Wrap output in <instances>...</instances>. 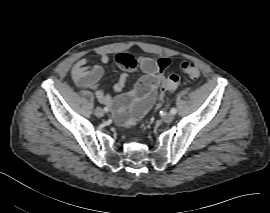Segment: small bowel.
Returning <instances> with one entry per match:
<instances>
[{"mask_svg":"<svg viewBox=\"0 0 270 213\" xmlns=\"http://www.w3.org/2000/svg\"><path fill=\"white\" fill-rule=\"evenodd\" d=\"M101 64L106 65L110 63L111 57L108 53H101L99 56ZM117 65L125 71H133L136 64L145 73L144 76L137 83L131 96L120 94L126 87L128 75L122 74L119 80L115 83L113 89L119 93L117 97L109 95L101 86L100 80L104 74V69L99 66H87V59H79L71 70L73 80L79 86L90 88L94 91L98 100L105 106L111 107L115 110V120L120 126H131L155 103L157 100V90L162 83V73L171 64L167 58L154 60L151 58H140L134 65L128 62V55L119 54L116 57ZM164 92L161 93V96ZM133 104L132 117L127 118L120 113L122 107Z\"/></svg>","mask_w":270,"mask_h":213,"instance_id":"obj_1","label":"small bowel"}]
</instances>
